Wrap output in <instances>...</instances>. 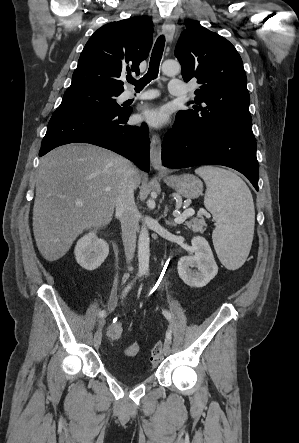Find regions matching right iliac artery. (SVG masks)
<instances>
[{
  "mask_svg": "<svg viewBox=\"0 0 299 443\" xmlns=\"http://www.w3.org/2000/svg\"><path fill=\"white\" fill-rule=\"evenodd\" d=\"M138 276H140V274H139ZM131 286H132V283L128 284V285L125 287V289H124V291H123V296H125L126 293L131 289ZM98 316H99L100 318L105 317V316H106V311H105V310L100 311V312L98 313Z\"/></svg>",
  "mask_w": 299,
  "mask_h": 443,
  "instance_id": "82829eb1",
  "label": "right iliac artery"
}]
</instances>
